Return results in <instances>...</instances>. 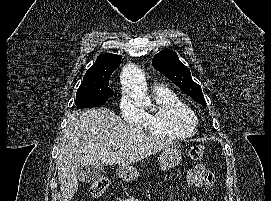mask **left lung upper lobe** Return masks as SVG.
Instances as JSON below:
<instances>
[{
  "label": "left lung upper lobe",
  "instance_id": "left-lung-upper-lobe-1",
  "mask_svg": "<svg viewBox=\"0 0 271 201\" xmlns=\"http://www.w3.org/2000/svg\"><path fill=\"white\" fill-rule=\"evenodd\" d=\"M152 64L156 70L169 78L192 99L206 106L201 87L192 80L190 70L179 61L174 51L159 52L154 56Z\"/></svg>",
  "mask_w": 271,
  "mask_h": 201
}]
</instances>
